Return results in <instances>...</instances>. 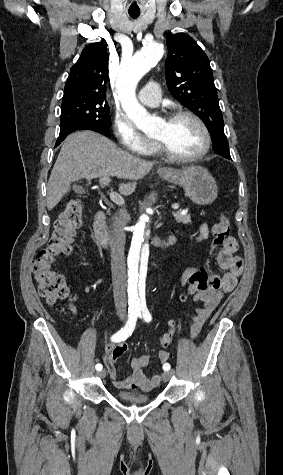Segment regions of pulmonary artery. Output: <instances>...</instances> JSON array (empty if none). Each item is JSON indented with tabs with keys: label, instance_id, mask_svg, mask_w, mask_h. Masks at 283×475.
<instances>
[{
	"label": "pulmonary artery",
	"instance_id": "1",
	"mask_svg": "<svg viewBox=\"0 0 283 475\" xmlns=\"http://www.w3.org/2000/svg\"><path fill=\"white\" fill-rule=\"evenodd\" d=\"M158 80H151L139 90L138 99L147 105L156 106L161 100V88ZM115 90H136V89H115Z\"/></svg>",
	"mask_w": 283,
	"mask_h": 475
}]
</instances>
